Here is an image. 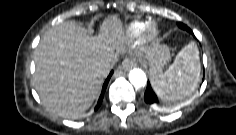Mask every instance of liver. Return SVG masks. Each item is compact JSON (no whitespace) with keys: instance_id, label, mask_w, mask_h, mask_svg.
I'll return each instance as SVG.
<instances>
[{"instance_id":"1","label":"liver","mask_w":236,"mask_h":135,"mask_svg":"<svg viewBox=\"0 0 236 135\" xmlns=\"http://www.w3.org/2000/svg\"><path fill=\"white\" fill-rule=\"evenodd\" d=\"M125 41L117 16L103 22L98 36L87 34L74 21L49 29L34 52L33 85L42 104L62 117L85 112L109 73L106 61Z\"/></svg>"}]
</instances>
